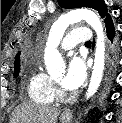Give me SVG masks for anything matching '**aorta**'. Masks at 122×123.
Returning <instances> with one entry per match:
<instances>
[{"instance_id":"762f6f07","label":"aorta","mask_w":122,"mask_h":123,"mask_svg":"<svg viewBox=\"0 0 122 123\" xmlns=\"http://www.w3.org/2000/svg\"><path fill=\"white\" fill-rule=\"evenodd\" d=\"M85 20L96 32V47L93 71L86 93V98L93 96L100 86L105 66V34L102 22L98 15L90 9L82 8L61 15L52 25L47 46L44 53V61L49 73L63 70L64 61L57 50L63 35L70 24Z\"/></svg>"}]
</instances>
